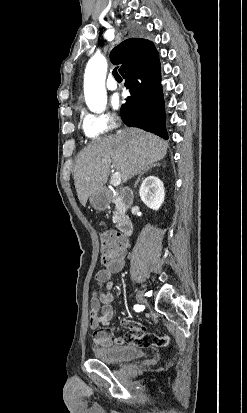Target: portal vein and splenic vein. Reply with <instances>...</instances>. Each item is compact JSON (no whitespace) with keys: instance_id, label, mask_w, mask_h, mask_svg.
I'll use <instances>...</instances> for the list:
<instances>
[{"instance_id":"obj_1","label":"portal vein and splenic vein","mask_w":247,"mask_h":413,"mask_svg":"<svg viewBox=\"0 0 247 413\" xmlns=\"http://www.w3.org/2000/svg\"><path fill=\"white\" fill-rule=\"evenodd\" d=\"M120 182H121L120 172H113V174L111 176V184H113V186H118V184H120Z\"/></svg>"}]
</instances>
